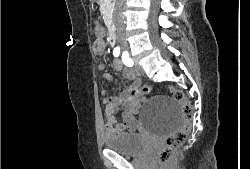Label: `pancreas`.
I'll list each match as a JSON object with an SVG mask.
<instances>
[{
  "label": "pancreas",
  "mask_w": 250,
  "mask_h": 169,
  "mask_svg": "<svg viewBox=\"0 0 250 169\" xmlns=\"http://www.w3.org/2000/svg\"><path fill=\"white\" fill-rule=\"evenodd\" d=\"M100 2L103 12H107V10H110V8H112L113 6V0H105V2H102V0H100Z\"/></svg>",
  "instance_id": "obj_1"
}]
</instances>
